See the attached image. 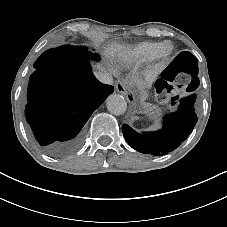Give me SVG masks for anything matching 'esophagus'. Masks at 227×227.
Returning <instances> with one entry per match:
<instances>
[{
	"label": "esophagus",
	"instance_id": "esophagus-1",
	"mask_svg": "<svg viewBox=\"0 0 227 227\" xmlns=\"http://www.w3.org/2000/svg\"><path fill=\"white\" fill-rule=\"evenodd\" d=\"M115 84L117 91L124 97H126L129 103L135 105L137 102V98L132 89L126 84V82L123 80H117Z\"/></svg>",
	"mask_w": 227,
	"mask_h": 227
}]
</instances>
